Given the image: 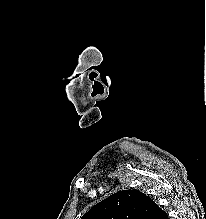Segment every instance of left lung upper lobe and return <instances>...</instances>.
<instances>
[{"label":"left lung upper lobe","mask_w":206,"mask_h":219,"mask_svg":"<svg viewBox=\"0 0 206 219\" xmlns=\"http://www.w3.org/2000/svg\"><path fill=\"white\" fill-rule=\"evenodd\" d=\"M154 204L138 190H123L94 205L81 219H150Z\"/></svg>","instance_id":"obj_1"}]
</instances>
